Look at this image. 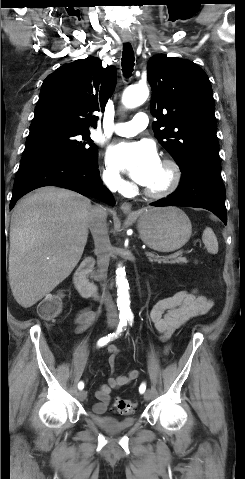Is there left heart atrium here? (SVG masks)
<instances>
[{
  "mask_svg": "<svg viewBox=\"0 0 245 479\" xmlns=\"http://www.w3.org/2000/svg\"><path fill=\"white\" fill-rule=\"evenodd\" d=\"M109 161L128 170L132 179L147 186L154 179L161 162L155 147L148 141L119 143L109 151Z\"/></svg>",
  "mask_w": 245,
  "mask_h": 479,
  "instance_id": "1",
  "label": "left heart atrium"
}]
</instances>
